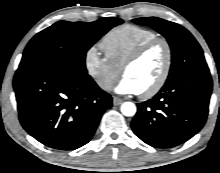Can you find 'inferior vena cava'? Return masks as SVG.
I'll list each match as a JSON object with an SVG mask.
<instances>
[{
  "label": "inferior vena cava",
  "instance_id": "1",
  "mask_svg": "<svg viewBox=\"0 0 220 173\" xmlns=\"http://www.w3.org/2000/svg\"><path fill=\"white\" fill-rule=\"evenodd\" d=\"M113 87V83L109 81H105L101 84V88L104 90H111Z\"/></svg>",
  "mask_w": 220,
  "mask_h": 173
}]
</instances>
